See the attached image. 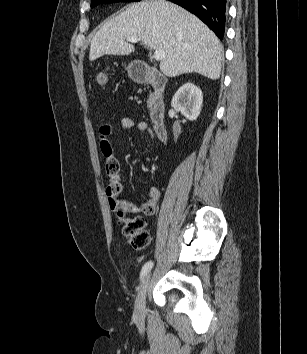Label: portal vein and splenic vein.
Segmentation results:
<instances>
[{"label":"portal vein and splenic vein","mask_w":307,"mask_h":354,"mask_svg":"<svg viewBox=\"0 0 307 354\" xmlns=\"http://www.w3.org/2000/svg\"><path fill=\"white\" fill-rule=\"evenodd\" d=\"M126 40L132 43H137L140 41L135 36H127ZM153 57L156 61H161L165 57V51L162 49L155 50Z\"/></svg>","instance_id":"1"}]
</instances>
